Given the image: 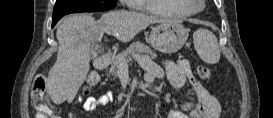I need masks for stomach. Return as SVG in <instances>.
<instances>
[{
	"label": "stomach",
	"instance_id": "obj_1",
	"mask_svg": "<svg viewBox=\"0 0 273 118\" xmlns=\"http://www.w3.org/2000/svg\"><path fill=\"white\" fill-rule=\"evenodd\" d=\"M187 29L179 22H162L151 29L150 45L162 53H175L188 38Z\"/></svg>",
	"mask_w": 273,
	"mask_h": 118
}]
</instances>
